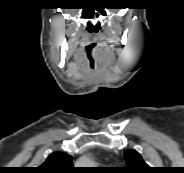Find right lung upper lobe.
<instances>
[{"label":"right lung upper lobe","mask_w":184,"mask_h":173,"mask_svg":"<svg viewBox=\"0 0 184 173\" xmlns=\"http://www.w3.org/2000/svg\"><path fill=\"white\" fill-rule=\"evenodd\" d=\"M72 157L62 153L54 152L47 160L36 169L37 173H73Z\"/></svg>","instance_id":"right-lung-upper-lobe-1"}]
</instances>
